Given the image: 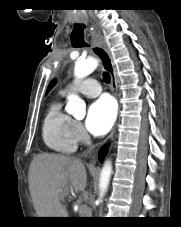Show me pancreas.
I'll return each mask as SVG.
<instances>
[{"mask_svg": "<svg viewBox=\"0 0 181 227\" xmlns=\"http://www.w3.org/2000/svg\"><path fill=\"white\" fill-rule=\"evenodd\" d=\"M85 214L86 213L82 212V210L79 209V217H87Z\"/></svg>", "mask_w": 181, "mask_h": 227, "instance_id": "1", "label": "pancreas"}]
</instances>
